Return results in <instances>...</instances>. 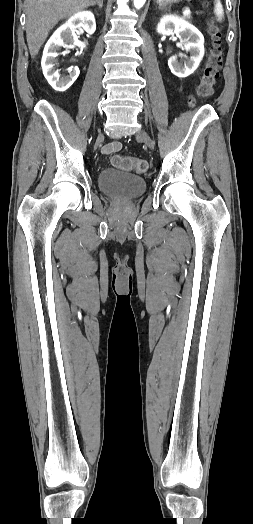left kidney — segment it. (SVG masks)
<instances>
[{
  "label": "left kidney",
  "instance_id": "left-kidney-1",
  "mask_svg": "<svg viewBox=\"0 0 253 524\" xmlns=\"http://www.w3.org/2000/svg\"><path fill=\"white\" fill-rule=\"evenodd\" d=\"M157 32L162 35L175 33L184 44V49L190 53V57L184 62L179 61L177 56L171 57L168 60L171 72L180 78L192 74L204 56V37L201 32L184 19L174 15L163 16L157 26Z\"/></svg>",
  "mask_w": 253,
  "mask_h": 524
}]
</instances>
